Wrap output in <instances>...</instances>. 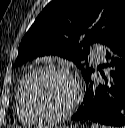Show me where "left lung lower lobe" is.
I'll return each instance as SVG.
<instances>
[{
  "label": "left lung lower lobe",
  "mask_w": 125,
  "mask_h": 128,
  "mask_svg": "<svg viewBox=\"0 0 125 128\" xmlns=\"http://www.w3.org/2000/svg\"><path fill=\"white\" fill-rule=\"evenodd\" d=\"M106 59L112 67L108 75L101 71L102 80L92 78L94 70L83 77L86 92L82 104L72 120H91L103 125L124 128L125 126V26L106 45Z\"/></svg>",
  "instance_id": "0a47b994"
}]
</instances>
